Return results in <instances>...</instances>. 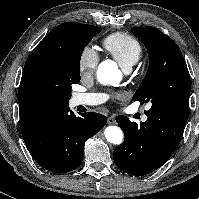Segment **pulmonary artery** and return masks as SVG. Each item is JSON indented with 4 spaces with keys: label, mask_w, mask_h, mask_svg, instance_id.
Here are the masks:
<instances>
[{
    "label": "pulmonary artery",
    "mask_w": 199,
    "mask_h": 199,
    "mask_svg": "<svg viewBox=\"0 0 199 199\" xmlns=\"http://www.w3.org/2000/svg\"><path fill=\"white\" fill-rule=\"evenodd\" d=\"M130 69H126L128 73ZM105 100V96L97 93H78L74 94L71 98L70 104L72 107L77 106H92L102 103ZM147 116L143 115L142 121H146Z\"/></svg>",
    "instance_id": "pulmonary-artery-1"
}]
</instances>
